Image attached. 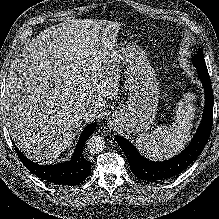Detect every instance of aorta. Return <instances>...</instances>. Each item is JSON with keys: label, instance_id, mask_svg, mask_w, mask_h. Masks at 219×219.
<instances>
[{"label": "aorta", "instance_id": "762f6f07", "mask_svg": "<svg viewBox=\"0 0 219 219\" xmlns=\"http://www.w3.org/2000/svg\"><path fill=\"white\" fill-rule=\"evenodd\" d=\"M87 149L92 154L101 153L105 149V140L102 136H92L86 142Z\"/></svg>", "mask_w": 219, "mask_h": 219}]
</instances>
